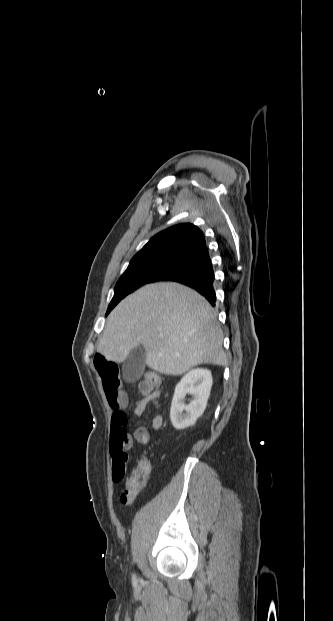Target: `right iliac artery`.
I'll use <instances>...</instances> for the list:
<instances>
[{"label":"right iliac artery","mask_w":333,"mask_h":621,"mask_svg":"<svg viewBox=\"0 0 333 621\" xmlns=\"http://www.w3.org/2000/svg\"><path fill=\"white\" fill-rule=\"evenodd\" d=\"M132 579H133V581H136V577L134 575H133Z\"/></svg>","instance_id":"1"}]
</instances>
